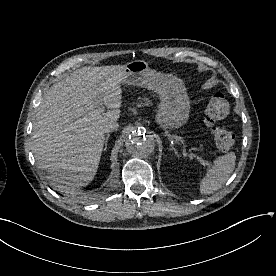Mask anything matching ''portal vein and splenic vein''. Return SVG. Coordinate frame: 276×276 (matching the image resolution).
I'll list each match as a JSON object with an SVG mask.
<instances>
[{"label":"portal vein and splenic vein","mask_w":276,"mask_h":276,"mask_svg":"<svg viewBox=\"0 0 276 276\" xmlns=\"http://www.w3.org/2000/svg\"><path fill=\"white\" fill-rule=\"evenodd\" d=\"M97 108L98 110L102 111L103 108V103L101 101L97 102ZM191 157H196L195 154H190ZM197 159L199 160V162L203 165V166H210V163L208 161H204L201 157L197 156Z\"/></svg>","instance_id":"1"}]
</instances>
